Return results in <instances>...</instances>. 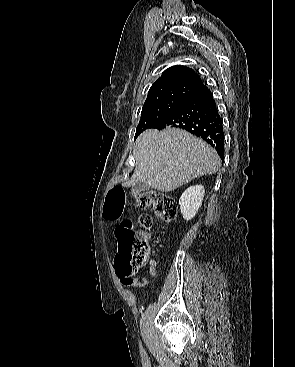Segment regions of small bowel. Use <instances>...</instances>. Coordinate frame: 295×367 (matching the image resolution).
Masks as SVG:
<instances>
[{
	"mask_svg": "<svg viewBox=\"0 0 295 367\" xmlns=\"http://www.w3.org/2000/svg\"><path fill=\"white\" fill-rule=\"evenodd\" d=\"M149 271H150L151 276L155 277V275H156V263H155V261L150 262ZM118 277H119L120 283L125 287L140 286V285H143L145 283L144 280H139V279L135 280L130 276H119L118 275Z\"/></svg>",
	"mask_w": 295,
	"mask_h": 367,
	"instance_id": "obj_1",
	"label": "small bowel"
}]
</instances>
